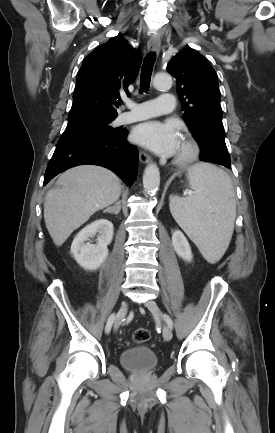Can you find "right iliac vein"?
I'll return each instance as SVG.
<instances>
[{
  "mask_svg": "<svg viewBox=\"0 0 275 433\" xmlns=\"http://www.w3.org/2000/svg\"><path fill=\"white\" fill-rule=\"evenodd\" d=\"M127 310H128L127 303L126 302L122 303V305H121V307H120V309L116 315L115 321H114V330L115 331H117L119 326L121 325L123 319L125 318V316L127 314Z\"/></svg>",
  "mask_w": 275,
  "mask_h": 433,
  "instance_id": "right-iliac-vein-1",
  "label": "right iliac vein"
}]
</instances>
